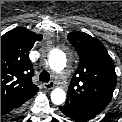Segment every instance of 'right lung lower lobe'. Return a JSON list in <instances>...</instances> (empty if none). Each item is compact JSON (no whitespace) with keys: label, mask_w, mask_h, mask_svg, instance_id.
<instances>
[{"label":"right lung lower lobe","mask_w":122,"mask_h":122,"mask_svg":"<svg viewBox=\"0 0 122 122\" xmlns=\"http://www.w3.org/2000/svg\"><path fill=\"white\" fill-rule=\"evenodd\" d=\"M20 106H16L12 103H5L1 105V116H8V115H13L17 112V109Z\"/></svg>","instance_id":"1"}]
</instances>
